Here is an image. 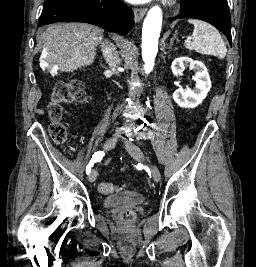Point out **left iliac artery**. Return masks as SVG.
I'll return each mask as SVG.
<instances>
[{
    "label": "left iliac artery",
    "mask_w": 256,
    "mask_h": 267,
    "mask_svg": "<svg viewBox=\"0 0 256 267\" xmlns=\"http://www.w3.org/2000/svg\"><path fill=\"white\" fill-rule=\"evenodd\" d=\"M142 167H143V165L140 164V163L137 165V168H138V169H142Z\"/></svg>",
    "instance_id": "44dca946"
}]
</instances>
